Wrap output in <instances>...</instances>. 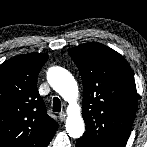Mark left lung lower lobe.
<instances>
[{"instance_id": "obj_1", "label": "left lung lower lobe", "mask_w": 147, "mask_h": 147, "mask_svg": "<svg viewBox=\"0 0 147 147\" xmlns=\"http://www.w3.org/2000/svg\"><path fill=\"white\" fill-rule=\"evenodd\" d=\"M76 147H88L87 145H85L84 142H81L79 140L76 141Z\"/></svg>"}]
</instances>
